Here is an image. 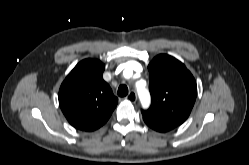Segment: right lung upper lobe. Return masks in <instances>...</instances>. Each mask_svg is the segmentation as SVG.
<instances>
[{
    "label": "right lung upper lobe",
    "instance_id": "obj_1",
    "mask_svg": "<svg viewBox=\"0 0 249 165\" xmlns=\"http://www.w3.org/2000/svg\"><path fill=\"white\" fill-rule=\"evenodd\" d=\"M105 65L99 60L78 63L61 84L59 105L69 123L93 131L107 122L118 98L103 80Z\"/></svg>",
    "mask_w": 249,
    "mask_h": 165
}]
</instances>
